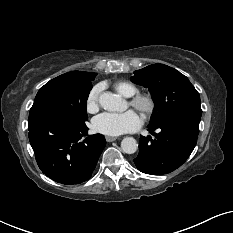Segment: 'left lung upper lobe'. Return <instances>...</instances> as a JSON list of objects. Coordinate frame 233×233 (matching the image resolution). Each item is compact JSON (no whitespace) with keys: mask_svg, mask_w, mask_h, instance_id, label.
<instances>
[{"mask_svg":"<svg viewBox=\"0 0 233 233\" xmlns=\"http://www.w3.org/2000/svg\"><path fill=\"white\" fill-rule=\"evenodd\" d=\"M133 83L147 87L155 103L151 123L169 115H202L200 96L188 78L164 64H153L134 72Z\"/></svg>","mask_w":233,"mask_h":233,"instance_id":"obj_1","label":"left lung upper lobe"}]
</instances>
